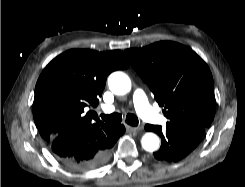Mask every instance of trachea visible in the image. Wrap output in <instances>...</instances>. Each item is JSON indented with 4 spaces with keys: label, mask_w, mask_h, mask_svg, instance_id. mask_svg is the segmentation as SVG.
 <instances>
[{
    "label": "trachea",
    "mask_w": 245,
    "mask_h": 187,
    "mask_svg": "<svg viewBox=\"0 0 245 187\" xmlns=\"http://www.w3.org/2000/svg\"><path fill=\"white\" fill-rule=\"evenodd\" d=\"M100 116L106 123H110V124L120 123L122 121V115L119 113H113L110 115L102 114ZM126 122L131 126H137L139 123L137 116L131 113L127 114Z\"/></svg>",
    "instance_id": "3493384b"
}]
</instances>
